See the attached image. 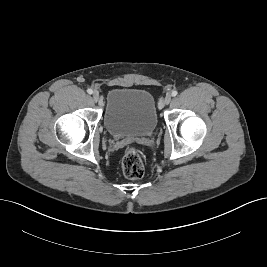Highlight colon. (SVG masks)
Here are the masks:
<instances>
[{
  "label": "colon",
  "mask_w": 267,
  "mask_h": 267,
  "mask_svg": "<svg viewBox=\"0 0 267 267\" xmlns=\"http://www.w3.org/2000/svg\"><path fill=\"white\" fill-rule=\"evenodd\" d=\"M122 171L127 178L133 180L144 175V163L136 147L130 146L126 149L122 159Z\"/></svg>",
  "instance_id": "colon-1"
}]
</instances>
